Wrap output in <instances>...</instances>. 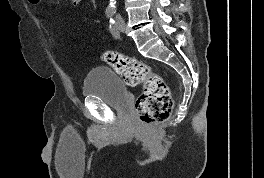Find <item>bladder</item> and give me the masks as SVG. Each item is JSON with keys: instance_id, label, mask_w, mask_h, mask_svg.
<instances>
[{"instance_id": "obj_1", "label": "bladder", "mask_w": 264, "mask_h": 178, "mask_svg": "<svg viewBox=\"0 0 264 178\" xmlns=\"http://www.w3.org/2000/svg\"><path fill=\"white\" fill-rule=\"evenodd\" d=\"M82 93L85 98L98 99L113 108H121L128 101L122 79L110 68L95 67L84 77Z\"/></svg>"}]
</instances>
